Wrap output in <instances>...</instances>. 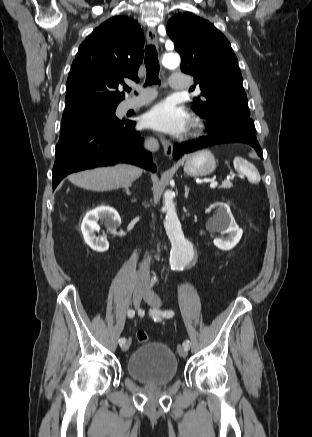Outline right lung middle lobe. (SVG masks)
I'll return each instance as SVG.
<instances>
[{"mask_svg": "<svg viewBox=\"0 0 312 437\" xmlns=\"http://www.w3.org/2000/svg\"><path fill=\"white\" fill-rule=\"evenodd\" d=\"M117 105H84L67 108L62 116L60 140L78 133L121 122L115 116Z\"/></svg>", "mask_w": 312, "mask_h": 437, "instance_id": "1", "label": "right lung middle lobe"}]
</instances>
